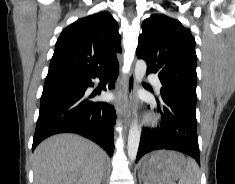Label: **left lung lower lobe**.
Wrapping results in <instances>:
<instances>
[{"mask_svg": "<svg viewBox=\"0 0 235 184\" xmlns=\"http://www.w3.org/2000/svg\"><path fill=\"white\" fill-rule=\"evenodd\" d=\"M157 111L162 116V126L141 133L136 162L150 151L169 149L190 155L200 165L196 105L175 93H163L157 101Z\"/></svg>", "mask_w": 235, "mask_h": 184, "instance_id": "0a47b994", "label": "left lung lower lobe"}]
</instances>
